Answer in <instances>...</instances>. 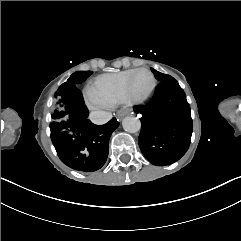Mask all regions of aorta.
Returning <instances> with one entry per match:
<instances>
[{
    "label": "aorta",
    "mask_w": 241,
    "mask_h": 241,
    "mask_svg": "<svg viewBox=\"0 0 241 241\" xmlns=\"http://www.w3.org/2000/svg\"><path fill=\"white\" fill-rule=\"evenodd\" d=\"M123 129L129 133H136L141 129V122L138 117L127 116L122 121Z\"/></svg>",
    "instance_id": "aorta-1"
}]
</instances>
